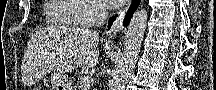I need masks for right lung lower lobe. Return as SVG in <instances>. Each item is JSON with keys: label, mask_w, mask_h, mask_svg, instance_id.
<instances>
[{"label": "right lung lower lobe", "mask_w": 216, "mask_h": 90, "mask_svg": "<svg viewBox=\"0 0 216 90\" xmlns=\"http://www.w3.org/2000/svg\"><path fill=\"white\" fill-rule=\"evenodd\" d=\"M139 3H140V0H134V1H133V4H132L130 10H129V11L127 12V14H126L125 21H124V24H125V25L129 23V21H130L132 15H133V13H134V11L137 9V7H138V5H139ZM115 19H116V17H111V18L109 19L108 29L111 27V25H112V23H113V21H114Z\"/></svg>", "instance_id": "1"}]
</instances>
